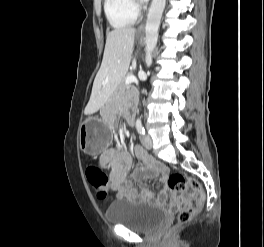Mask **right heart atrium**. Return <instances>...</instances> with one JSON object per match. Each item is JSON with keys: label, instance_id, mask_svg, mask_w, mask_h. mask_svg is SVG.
Returning a JSON list of instances; mask_svg holds the SVG:
<instances>
[{"label": "right heart atrium", "instance_id": "d8ad5b80", "mask_svg": "<svg viewBox=\"0 0 264 247\" xmlns=\"http://www.w3.org/2000/svg\"><path fill=\"white\" fill-rule=\"evenodd\" d=\"M129 1H130L131 6L136 7V2H135V0H129Z\"/></svg>", "mask_w": 264, "mask_h": 247}]
</instances>
